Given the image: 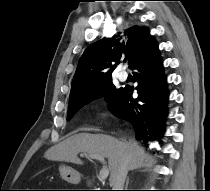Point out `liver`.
Masks as SVG:
<instances>
[{
  "label": "liver",
  "mask_w": 210,
  "mask_h": 191,
  "mask_svg": "<svg viewBox=\"0 0 210 191\" xmlns=\"http://www.w3.org/2000/svg\"><path fill=\"white\" fill-rule=\"evenodd\" d=\"M79 153L101 155L108 159L110 184L120 164L126 160L129 170L145 165L148 159L144 149L136 140L120 141L104 134L79 133L49 148L44 156L52 161H64L83 164L78 158ZM151 161V160H150Z\"/></svg>",
  "instance_id": "obj_1"
}]
</instances>
